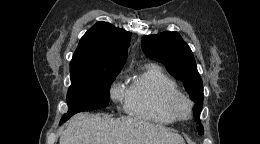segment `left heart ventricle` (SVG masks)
<instances>
[{
    "label": "left heart ventricle",
    "mask_w": 260,
    "mask_h": 144,
    "mask_svg": "<svg viewBox=\"0 0 260 144\" xmlns=\"http://www.w3.org/2000/svg\"><path fill=\"white\" fill-rule=\"evenodd\" d=\"M188 107L185 102H180L178 104V111L181 115H185L187 113Z\"/></svg>",
    "instance_id": "b2bd125f"
}]
</instances>
